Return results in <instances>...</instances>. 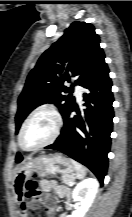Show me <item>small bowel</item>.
<instances>
[{
	"instance_id": "c3829d8e",
	"label": "small bowel",
	"mask_w": 132,
	"mask_h": 217,
	"mask_svg": "<svg viewBox=\"0 0 132 217\" xmlns=\"http://www.w3.org/2000/svg\"><path fill=\"white\" fill-rule=\"evenodd\" d=\"M40 185L42 190L46 193L41 198L40 202L45 205V210L48 214H52L55 211V203L49 195L50 192H55L57 196L65 200V202H69L71 199L70 189L64 185L59 184L55 180L43 179L40 182ZM17 197L21 208L20 216L28 217V215H30L28 212V208L31 206L30 203L25 200L23 192L21 191H17ZM32 206H37V202H34Z\"/></svg>"
}]
</instances>
